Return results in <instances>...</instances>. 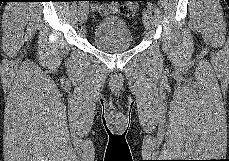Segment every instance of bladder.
<instances>
[{"mask_svg": "<svg viewBox=\"0 0 229 161\" xmlns=\"http://www.w3.org/2000/svg\"><path fill=\"white\" fill-rule=\"evenodd\" d=\"M91 40L99 49L107 52L127 50L134 44L130 27L119 17L101 18L94 27Z\"/></svg>", "mask_w": 229, "mask_h": 161, "instance_id": "bladder-1", "label": "bladder"}]
</instances>
